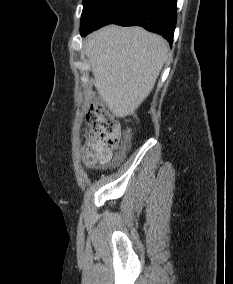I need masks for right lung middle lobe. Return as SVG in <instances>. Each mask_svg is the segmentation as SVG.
<instances>
[{"instance_id":"obj_1","label":"right lung middle lobe","mask_w":233,"mask_h":284,"mask_svg":"<svg viewBox=\"0 0 233 284\" xmlns=\"http://www.w3.org/2000/svg\"><path fill=\"white\" fill-rule=\"evenodd\" d=\"M110 1L111 0H83L80 29L85 28Z\"/></svg>"}]
</instances>
